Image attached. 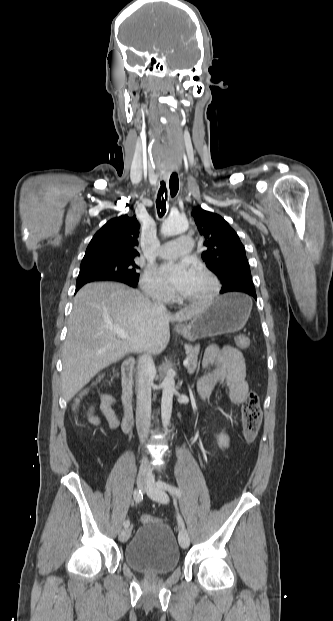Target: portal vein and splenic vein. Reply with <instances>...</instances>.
<instances>
[{
	"instance_id": "18ae733b",
	"label": "portal vein and splenic vein",
	"mask_w": 333,
	"mask_h": 621,
	"mask_svg": "<svg viewBox=\"0 0 333 621\" xmlns=\"http://www.w3.org/2000/svg\"><path fill=\"white\" fill-rule=\"evenodd\" d=\"M111 330L114 331L121 339H127L129 337L128 333L123 329L112 327ZM188 364H189V359L186 358L183 361V365L187 366Z\"/></svg>"
}]
</instances>
